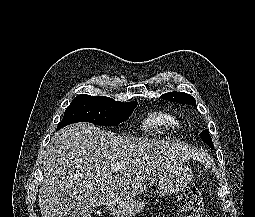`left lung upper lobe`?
<instances>
[{
  "mask_svg": "<svg viewBox=\"0 0 255 217\" xmlns=\"http://www.w3.org/2000/svg\"><path fill=\"white\" fill-rule=\"evenodd\" d=\"M161 97L166 99V100H169V101L196 106L195 99L191 95H189L187 93H184V92H170V93L163 94ZM200 138L208 146H210L212 149H214L212 139H211V136H210L208 130H204L203 132H201L200 133Z\"/></svg>",
  "mask_w": 255,
  "mask_h": 217,
  "instance_id": "left-lung-upper-lobe-1",
  "label": "left lung upper lobe"
}]
</instances>
